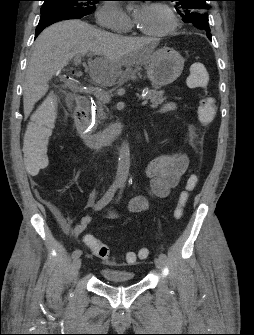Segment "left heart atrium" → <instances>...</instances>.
<instances>
[{
    "label": "left heart atrium",
    "mask_w": 254,
    "mask_h": 335,
    "mask_svg": "<svg viewBox=\"0 0 254 335\" xmlns=\"http://www.w3.org/2000/svg\"><path fill=\"white\" fill-rule=\"evenodd\" d=\"M149 7H150L149 5L143 4L137 9L135 13V21L137 23H140L143 20V18L145 17V15L147 14L149 10Z\"/></svg>",
    "instance_id": "left-heart-atrium-1"
}]
</instances>
